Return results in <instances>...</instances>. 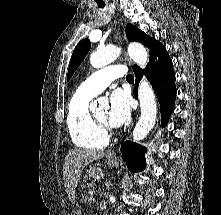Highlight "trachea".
Returning <instances> with one entry per match:
<instances>
[{"label":"trachea","mask_w":221,"mask_h":215,"mask_svg":"<svg viewBox=\"0 0 221 215\" xmlns=\"http://www.w3.org/2000/svg\"><path fill=\"white\" fill-rule=\"evenodd\" d=\"M98 7H99V8H104V7H105V4H103V3H98ZM126 80H127V81H134V76L131 75V74H129V75L126 76Z\"/></svg>","instance_id":"1"}]
</instances>
